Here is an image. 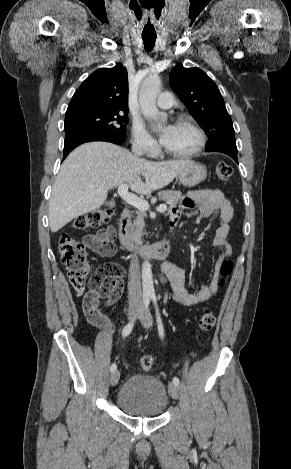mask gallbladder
<instances>
[{
  "label": "gallbladder",
  "instance_id": "obj_1",
  "mask_svg": "<svg viewBox=\"0 0 291 469\" xmlns=\"http://www.w3.org/2000/svg\"><path fill=\"white\" fill-rule=\"evenodd\" d=\"M106 205L109 206V207H113V206H114V202H113V201H110V202L106 203Z\"/></svg>",
  "mask_w": 291,
  "mask_h": 469
}]
</instances>
